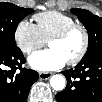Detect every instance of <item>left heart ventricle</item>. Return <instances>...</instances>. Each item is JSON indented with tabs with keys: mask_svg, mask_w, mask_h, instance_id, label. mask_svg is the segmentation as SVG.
<instances>
[{
	"mask_svg": "<svg viewBox=\"0 0 102 102\" xmlns=\"http://www.w3.org/2000/svg\"><path fill=\"white\" fill-rule=\"evenodd\" d=\"M83 42V33L80 30H76L64 40L50 42L49 47L57 51L67 62L77 56L83 46Z\"/></svg>",
	"mask_w": 102,
	"mask_h": 102,
	"instance_id": "b2bd125f",
	"label": "left heart ventricle"
}]
</instances>
